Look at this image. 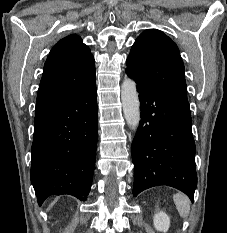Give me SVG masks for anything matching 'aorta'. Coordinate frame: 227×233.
Here are the masks:
<instances>
[{"label": "aorta", "instance_id": "1", "mask_svg": "<svg viewBox=\"0 0 227 233\" xmlns=\"http://www.w3.org/2000/svg\"><path fill=\"white\" fill-rule=\"evenodd\" d=\"M121 101L123 113L128 126L136 130L140 122V102L136 84L131 79H125L121 85Z\"/></svg>", "mask_w": 227, "mask_h": 233}]
</instances>
